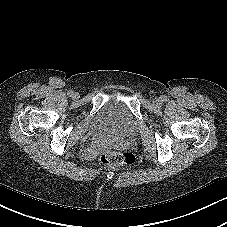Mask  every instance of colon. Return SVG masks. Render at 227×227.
I'll list each match as a JSON object with an SVG mask.
<instances>
[{"label": "colon", "instance_id": "5ec220e1", "mask_svg": "<svg viewBox=\"0 0 227 227\" xmlns=\"http://www.w3.org/2000/svg\"><path fill=\"white\" fill-rule=\"evenodd\" d=\"M101 161L109 166H128L134 163L135 157L128 151H110L101 156Z\"/></svg>", "mask_w": 227, "mask_h": 227}]
</instances>
